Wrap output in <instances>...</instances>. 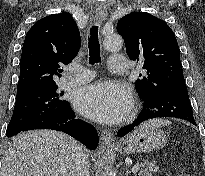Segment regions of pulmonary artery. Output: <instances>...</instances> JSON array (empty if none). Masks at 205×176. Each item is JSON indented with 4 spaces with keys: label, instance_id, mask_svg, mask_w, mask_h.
I'll use <instances>...</instances> for the list:
<instances>
[{
    "label": "pulmonary artery",
    "instance_id": "e3ab8cb5",
    "mask_svg": "<svg viewBox=\"0 0 205 176\" xmlns=\"http://www.w3.org/2000/svg\"><path fill=\"white\" fill-rule=\"evenodd\" d=\"M109 70L116 74H124L128 69V60L123 55H111L109 57ZM75 74L68 79V85L78 86L91 81L94 72L82 67H74Z\"/></svg>",
    "mask_w": 205,
    "mask_h": 176
}]
</instances>
